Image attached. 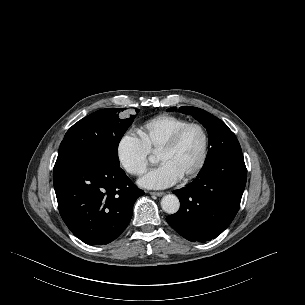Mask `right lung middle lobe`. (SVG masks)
Masks as SVG:
<instances>
[{"mask_svg":"<svg viewBox=\"0 0 305 305\" xmlns=\"http://www.w3.org/2000/svg\"><path fill=\"white\" fill-rule=\"evenodd\" d=\"M118 111V108L98 110L75 123L61 142L56 163L93 158L119 167L118 145L135 116L120 119Z\"/></svg>","mask_w":305,"mask_h":305,"instance_id":"right-lung-middle-lobe-1","label":"right lung middle lobe"}]
</instances>
